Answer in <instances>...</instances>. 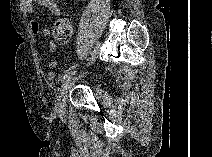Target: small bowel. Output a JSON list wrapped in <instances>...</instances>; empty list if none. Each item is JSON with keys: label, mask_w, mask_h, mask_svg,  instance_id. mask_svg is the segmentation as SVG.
<instances>
[{"label": "small bowel", "mask_w": 212, "mask_h": 157, "mask_svg": "<svg viewBox=\"0 0 212 157\" xmlns=\"http://www.w3.org/2000/svg\"><path fill=\"white\" fill-rule=\"evenodd\" d=\"M40 6L47 9L53 16L61 15V8L54 0H36L35 1ZM35 2L33 0H24L22 2L23 9L26 14L32 15L35 11ZM30 31L33 36H38L41 32L44 37H49L51 31L49 28L45 27L43 29L40 28V24L36 19H32L30 22ZM48 51L50 53H55L57 51V45L54 42H49ZM57 66L56 60H51L49 62V70L46 73V79L52 80L54 78V69Z\"/></svg>", "instance_id": "small-bowel-1"}]
</instances>
